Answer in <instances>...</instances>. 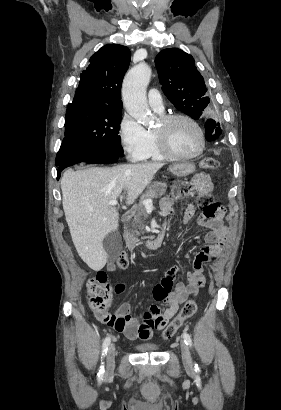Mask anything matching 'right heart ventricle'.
<instances>
[{
  "label": "right heart ventricle",
  "instance_id": "obj_1",
  "mask_svg": "<svg viewBox=\"0 0 281 410\" xmlns=\"http://www.w3.org/2000/svg\"><path fill=\"white\" fill-rule=\"evenodd\" d=\"M162 114V113H160ZM165 155L160 151L154 131H148V143L140 160L162 161L166 160Z\"/></svg>",
  "mask_w": 281,
  "mask_h": 410
}]
</instances>
